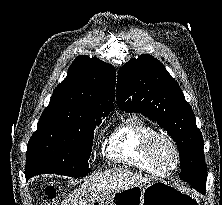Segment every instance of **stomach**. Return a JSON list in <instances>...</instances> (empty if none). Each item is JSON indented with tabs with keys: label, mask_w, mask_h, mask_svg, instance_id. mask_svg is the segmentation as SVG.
Segmentation results:
<instances>
[{
	"label": "stomach",
	"mask_w": 222,
	"mask_h": 205,
	"mask_svg": "<svg viewBox=\"0 0 222 205\" xmlns=\"http://www.w3.org/2000/svg\"><path fill=\"white\" fill-rule=\"evenodd\" d=\"M92 205H201L194 192L177 188L165 181L119 190Z\"/></svg>",
	"instance_id": "1"
}]
</instances>
